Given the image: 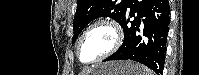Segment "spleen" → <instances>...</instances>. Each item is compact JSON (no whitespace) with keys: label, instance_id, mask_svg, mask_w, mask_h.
<instances>
[{"label":"spleen","instance_id":"obj_1","mask_svg":"<svg viewBox=\"0 0 199 75\" xmlns=\"http://www.w3.org/2000/svg\"><path fill=\"white\" fill-rule=\"evenodd\" d=\"M142 75H152V72L148 68H144Z\"/></svg>","mask_w":199,"mask_h":75}]
</instances>
